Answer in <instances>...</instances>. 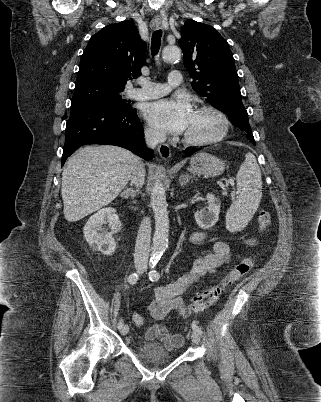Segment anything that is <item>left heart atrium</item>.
<instances>
[{"label":"left heart atrium","mask_w":321,"mask_h":402,"mask_svg":"<svg viewBox=\"0 0 321 402\" xmlns=\"http://www.w3.org/2000/svg\"><path fill=\"white\" fill-rule=\"evenodd\" d=\"M193 112L190 103L182 98L157 100L143 108L144 118L155 130L174 134L186 131Z\"/></svg>","instance_id":"39dd6f15"}]
</instances>
